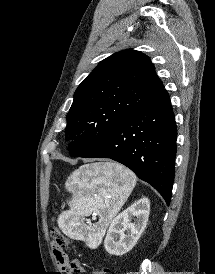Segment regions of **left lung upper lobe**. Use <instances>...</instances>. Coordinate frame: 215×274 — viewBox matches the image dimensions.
I'll list each match as a JSON object with an SVG mask.
<instances>
[{"mask_svg": "<svg viewBox=\"0 0 215 274\" xmlns=\"http://www.w3.org/2000/svg\"><path fill=\"white\" fill-rule=\"evenodd\" d=\"M165 92L150 59L132 49L101 61L79 85L67 114L66 134H81L70 155L86 154L123 119Z\"/></svg>", "mask_w": 215, "mask_h": 274, "instance_id": "5c2ea615", "label": "left lung upper lobe"}]
</instances>
